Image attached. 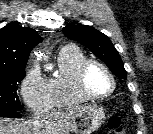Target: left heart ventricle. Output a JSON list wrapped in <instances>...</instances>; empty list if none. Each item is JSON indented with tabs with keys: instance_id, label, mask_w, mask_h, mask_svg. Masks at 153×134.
Instances as JSON below:
<instances>
[{
	"instance_id": "1",
	"label": "left heart ventricle",
	"mask_w": 153,
	"mask_h": 134,
	"mask_svg": "<svg viewBox=\"0 0 153 134\" xmlns=\"http://www.w3.org/2000/svg\"><path fill=\"white\" fill-rule=\"evenodd\" d=\"M86 88L92 94H103L111 89L109 76L98 66L89 68L86 74Z\"/></svg>"
}]
</instances>
